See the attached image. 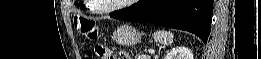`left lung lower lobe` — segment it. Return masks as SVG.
Instances as JSON below:
<instances>
[{"label": "left lung lower lobe", "mask_w": 261, "mask_h": 59, "mask_svg": "<svg viewBox=\"0 0 261 59\" xmlns=\"http://www.w3.org/2000/svg\"><path fill=\"white\" fill-rule=\"evenodd\" d=\"M212 11L213 0H140L128 10L112 13L111 17L185 30L206 44Z\"/></svg>", "instance_id": "left-lung-lower-lobe-1"}]
</instances>
